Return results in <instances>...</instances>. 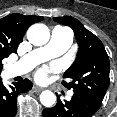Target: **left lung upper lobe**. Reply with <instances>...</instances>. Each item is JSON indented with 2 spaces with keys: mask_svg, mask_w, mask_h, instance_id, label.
<instances>
[{
  "mask_svg": "<svg viewBox=\"0 0 117 117\" xmlns=\"http://www.w3.org/2000/svg\"><path fill=\"white\" fill-rule=\"evenodd\" d=\"M54 20L73 29L79 46L76 60L63 75L69 82L63 81V85L100 107L110 83V62L103 43L71 16Z\"/></svg>",
  "mask_w": 117,
  "mask_h": 117,
  "instance_id": "left-lung-upper-lobe-1",
  "label": "left lung upper lobe"
}]
</instances>
